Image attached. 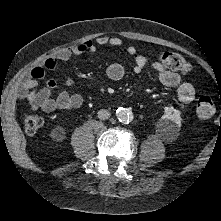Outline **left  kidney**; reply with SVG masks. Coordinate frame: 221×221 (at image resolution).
<instances>
[{
  "mask_svg": "<svg viewBox=\"0 0 221 221\" xmlns=\"http://www.w3.org/2000/svg\"><path fill=\"white\" fill-rule=\"evenodd\" d=\"M181 126L180 111L174 107H164V114L160 120V127L165 132L176 133Z\"/></svg>",
  "mask_w": 221,
  "mask_h": 221,
  "instance_id": "1",
  "label": "left kidney"
}]
</instances>
